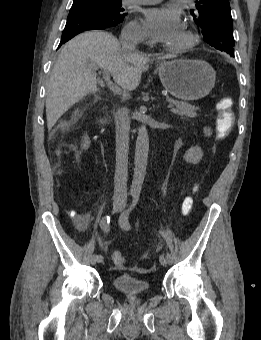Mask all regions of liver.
<instances>
[{
    "label": "liver",
    "instance_id": "6515ba94",
    "mask_svg": "<svg viewBox=\"0 0 261 340\" xmlns=\"http://www.w3.org/2000/svg\"><path fill=\"white\" fill-rule=\"evenodd\" d=\"M152 61L134 50H124L107 32L88 31L77 35L64 45L50 75L46 93L48 130L75 103L98 91L97 67L110 72L124 90L132 91Z\"/></svg>",
    "mask_w": 261,
    "mask_h": 340
}]
</instances>
